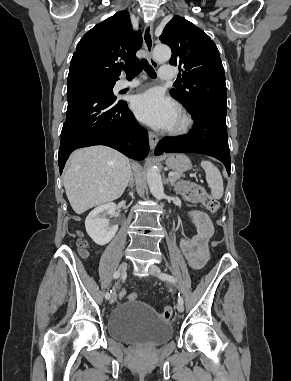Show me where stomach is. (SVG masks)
<instances>
[{
    "mask_svg": "<svg viewBox=\"0 0 291 381\" xmlns=\"http://www.w3.org/2000/svg\"><path fill=\"white\" fill-rule=\"evenodd\" d=\"M166 165L175 172H185L191 169L190 159L184 154L169 155L166 159Z\"/></svg>",
    "mask_w": 291,
    "mask_h": 381,
    "instance_id": "stomach-1",
    "label": "stomach"
}]
</instances>
